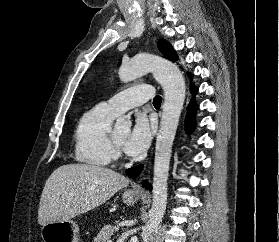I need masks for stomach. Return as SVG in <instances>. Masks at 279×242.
<instances>
[{"label": "stomach", "mask_w": 279, "mask_h": 242, "mask_svg": "<svg viewBox=\"0 0 279 242\" xmlns=\"http://www.w3.org/2000/svg\"><path fill=\"white\" fill-rule=\"evenodd\" d=\"M123 202L134 205L139 195L133 191L126 190L122 195ZM78 226L72 220L55 221L43 225L41 237L44 242H79Z\"/></svg>", "instance_id": "obj_1"}]
</instances>
